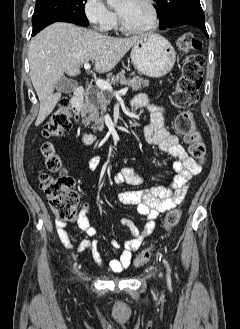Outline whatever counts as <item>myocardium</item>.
<instances>
[{
    "label": "myocardium",
    "instance_id": "myocardium-1",
    "mask_svg": "<svg viewBox=\"0 0 240 329\" xmlns=\"http://www.w3.org/2000/svg\"><path fill=\"white\" fill-rule=\"evenodd\" d=\"M145 1L148 4V6L150 7L151 12H152V22H151V24L148 25L147 27H144V28L132 29V28H130L126 25L123 17L117 11L118 26H119V29L123 33L129 34V35H143V34H148V33L152 32V31H154L158 28V26L160 24V14H159L158 7H157L154 0H145Z\"/></svg>",
    "mask_w": 240,
    "mask_h": 329
}]
</instances>
